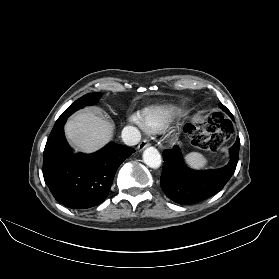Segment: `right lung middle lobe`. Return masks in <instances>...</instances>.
<instances>
[{"instance_id":"1","label":"right lung middle lobe","mask_w":279,"mask_h":279,"mask_svg":"<svg viewBox=\"0 0 279 279\" xmlns=\"http://www.w3.org/2000/svg\"><path fill=\"white\" fill-rule=\"evenodd\" d=\"M98 96L99 94L97 93H88L82 96L81 98L76 100L71 106H69L61 116L69 117L72 113L82 108L83 106L95 104L98 100Z\"/></svg>"}]
</instances>
